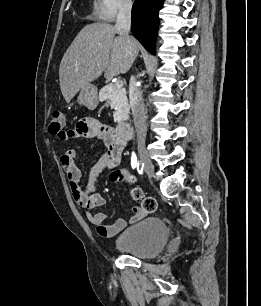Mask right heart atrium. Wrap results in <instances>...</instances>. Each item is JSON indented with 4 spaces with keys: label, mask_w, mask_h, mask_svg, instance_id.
Returning a JSON list of instances; mask_svg holds the SVG:
<instances>
[{
    "label": "right heart atrium",
    "mask_w": 261,
    "mask_h": 306,
    "mask_svg": "<svg viewBox=\"0 0 261 306\" xmlns=\"http://www.w3.org/2000/svg\"><path fill=\"white\" fill-rule=\"evenodd\" d=\"M131 7V0H95L94 14L98 19L110 22L130 11Z\"/></svg>",
    "instance_id": "right-heart-atrium-1"
}]
</instances>
